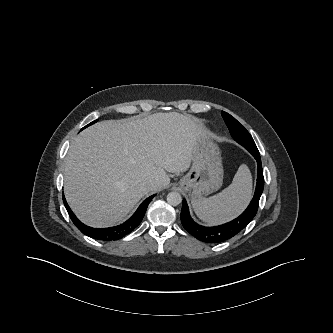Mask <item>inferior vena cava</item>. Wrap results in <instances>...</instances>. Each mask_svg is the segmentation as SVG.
<instances>
[{"label":"inferior vena cava","mask_w":333,"mask_h":333,"mask_svg":"<svg viewBox=\"0 0 333 333\" xmlns=\"http://www.w3.org/2000/svg\"><path fill=\"white\" fill-rule=\"evenodd\" d=\"M155 184V181L154 180H150L149 181V186H152V185H154Z\"/></svg>","instance_id":"1"}]
</instances>
